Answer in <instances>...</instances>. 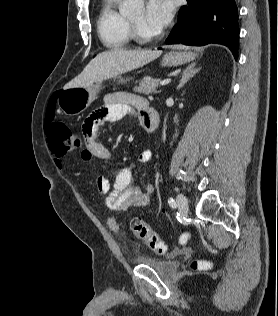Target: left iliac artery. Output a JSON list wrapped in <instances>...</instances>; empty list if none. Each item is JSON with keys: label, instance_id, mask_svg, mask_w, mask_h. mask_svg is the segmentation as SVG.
Masks as SVG:
<instances>
[{"label": "left iliac artery", "instance_id": "obj_1", "mask_svg": "<svg viewBox=\"0 0 278 316\" xmlns=\"http://www.w3.org/2000/svg\"><path fill=\"white\" fill-rule=\"evenodd\" d=\"M168 203L172 208H176V202L174 201L173 198H169Z\"/></svg>", "mask_w": 278, "mask_h": 316}]
</instances>
